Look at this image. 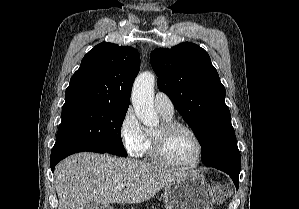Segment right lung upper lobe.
Wrapping results in <instances>:
<instances>
[{"label":"right lung upper lobe","instance_id":"cb5924a9","mask_svg":"<svg viewBox=\"0 0 299 209\" xmlns=\"http://www.w3.org/2000/svg\"><path fill=\"white\" fill-rule=\"evenodd\" d=\"M140 56L132 47L100 43L82 59L65 92V106L102 104L129 107Z\"/></svg>","mask_w":299,"mask_h":209}]
</instances>
